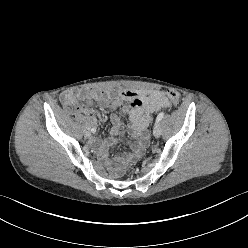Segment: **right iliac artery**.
<instances>
[{"label":"right iliac artery","mask_w":248,"mask_h":248,"mask_svg":"<svg viewBox=\"0 0 248 248\" xmlns=\"http://www.w3.org/2000/svg\"><path fill=\"white\" fill-rule=\"evenodd\" d=\"M91 131H92V132H95V129H92Z\"/></svg>","instance_id":"1"}]
</instances>
